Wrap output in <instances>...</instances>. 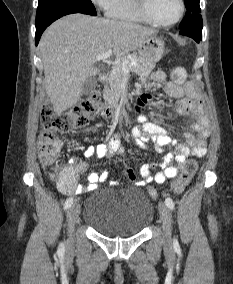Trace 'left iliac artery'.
Masks as SVG:
<instances>
[{
    "instance_id": "1",
    "label": "left iliac artery",
    "mask_w": 233,
    "mask_h": 284,
    "mask_svg": "<svg viewBox=\"0 0 233 284\" xmlns=\"http://www.w3.org/2000/svg\"><path fill=\"white\" fill-rule=\"evenodd\" d=\"M165 204L168 206V208H170L171 210H174L175 208V204L173 202V200L171 198H166L165 199ZM174 244H178L176 240H174Z\"/></svg>"
}]
</instances>
